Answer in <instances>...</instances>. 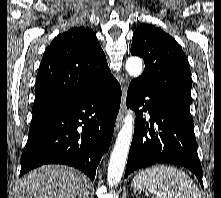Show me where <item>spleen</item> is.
<instances>
[{"label":"spleen","mask_w":221,"mask_h":198,"mask_svg":"<svg viewBox=\"0 0 221 198\" xmlns=\"http://www.w3.org/2000/svg\"><path fill=\"white\" fill-rule=\"evenodd\" d=\"M131 186L145 189L151 198H202L198 187L183 171L173 166L157 165L136 174Z\"/></svg>","instance_id":"obj_1"}]
</instances>
